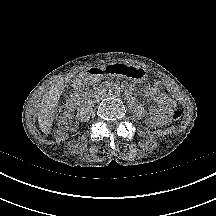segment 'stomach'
<instances>
[{
	"instance_id": "1",
	"label": "stomach",
	"mask_w": 216,
	"mask_h": 216,
	"mask_svg": "<svg viewBox=\"0 0 216 216\" xmlns=\"http://www.w3.org/2000/svg\"><path fill=\"white\" fill-rule=\"evenodd\" d=\"M107 73L110 76H117L118 78H128L134 82H143L147 78V71L138 66L128 65H110L107 68Z\"/></svg>"
}]
</instances>
